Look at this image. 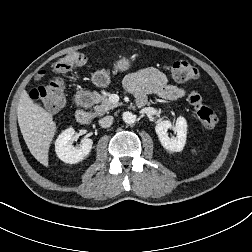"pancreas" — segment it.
I'll use <instances>...</instances> for the list:
<instances>
[{"instance_id":"obj_1","label":"pancreas","mask_w":252,"mask_h":252,"mask_svg":"<svg viewBox=\"0 0 252 252\" xmlns=\"http://www.w3.org/2000/svg\"><path fill=\"white\" fill-rule=\"evenodd\" d=\"M94 97L95 102L97 103V105L94 107V116H101L105 113H108L109 110L114 109L118 106V104L112 103L106 96L95 93Z\"/></svg>"}]
</instances>
